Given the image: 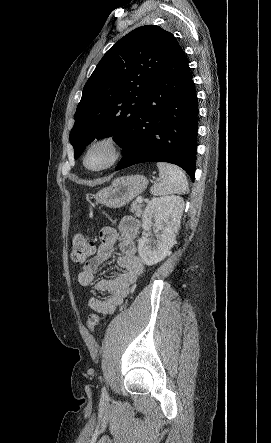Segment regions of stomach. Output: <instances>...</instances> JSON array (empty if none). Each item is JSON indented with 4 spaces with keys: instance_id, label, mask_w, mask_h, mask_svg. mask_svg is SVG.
I'll use <instances>...</instances> for the list:
<instances>
[{
    "instance_id": "0dacf381",
    "label": "stomach",
    "mask_w": 271,
    "mask_h": 443,
    "mask_svg": "<svg viewBox=\"0 0 271 443\" xmlns=\"http://www.w3.org/2000/svg\"><path fill=\"white\" fill-rule=\"evenodd\" d=\"M147 186L148 180L145 176H123L116 178L109 188H103L95 194V200L107 208H122L144 192Z\"/></svg>"
}]
</instances>
